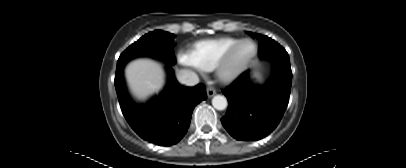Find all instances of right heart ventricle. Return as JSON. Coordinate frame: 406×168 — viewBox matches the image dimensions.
Listing matches in <instances>:
<instances>
[{
  "label": "right heart ventricle",
  "mask_w": 406,
  "mask_h": 168,
  "mask_svg": "<svg viewBox=\"0 0 406 168\" xmlns=\"http://www.w3.org/2000/svg\"><path fill=\"white\" fill-rule=\"evenodd\" d=\"M237 41L238 39L232 37L199 40L189 46L186 56L193 66L211 71L215 69L224 53Z\"/></svg>",
  "instance_id": "e07e8e85"
}]
</instances>
